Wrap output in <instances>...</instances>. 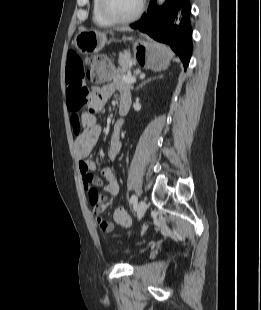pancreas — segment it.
I'll return each mask as SVG.
<instances>
[{"label": "pancreas", "mask_w": 261, "mask_h": 310, "mask_svg": "<svg viewBox=\"0 0 261 310\" xmlns=\"http://www.w3.org/2000/svg\"><path fill=\"white\" fill-rule=\"evenodd\" d=\"M134 64L133 60L130 58L129 54L124 52L119 54V65L121 67V73H128V75H131L129 69L130 67ZM140 73V70L134 71V75H138ZM122 74H118L116 76L117 79L120 81V89L125 90V89H131V84L126 83L122 79Z\"/></svg>", "instance_id": "1"}]
</instances>
